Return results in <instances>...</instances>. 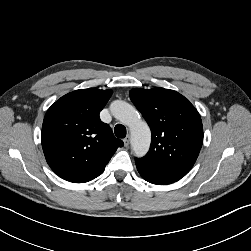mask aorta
Here are the masks:
<instances>
[{
    "instance_id": "obj_1",
    "label": "aorta",
    "mask_w": 251,
    "mask_h": 251,
    "mask_svg": "<svg viewBox=\"0 0 251 251\" xmlns=\"http://www.w3.org/2000/svg\"><path fill=\"white\" fill-rule=\"evenodd\" d=\"M110 111L117 120L130 128L131 145L135 155L144 156L151 141V132L147 123L141 119L136 109L125 101H113Z\"/></svg>"
}]
</instances>
